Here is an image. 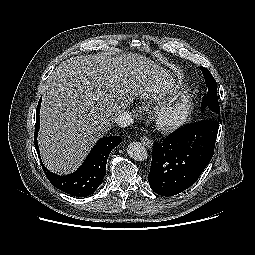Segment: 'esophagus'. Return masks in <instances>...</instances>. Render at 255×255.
I'll return each instance as SVG.
<instances>
[{
	"label": "esophagus",
	"instance_id": "esophagus-1",
	"mask_svg": "<svg viewBox=\"0 0 255 255\" xmlns=\"http://www.w3.org/2000/svg\"><path fill=\"white\" fill-rule=\"evenodd\" d=\"M140 141L142 142V144L144 146H146L149 149L152 148V146H153V141L150 138L146 137V136L141 137Z\"/></svg>",
	"mask_w": 255,
	"mask_h": 255
}]
</instances>
